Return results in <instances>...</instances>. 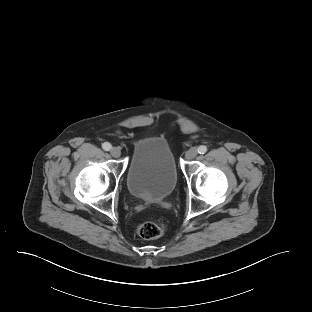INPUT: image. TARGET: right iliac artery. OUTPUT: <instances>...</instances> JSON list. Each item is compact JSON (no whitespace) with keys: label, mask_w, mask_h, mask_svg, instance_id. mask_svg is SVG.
Wrapping results in <instances>:
<instances>
[{"label":"right iliac artery","mask_w":312,"mask_h":312,"mask_svg":"<svg viewBox=\"0 0 312 312\" xmlns=\"http://www.w3.org/2000/svg\"><path fill=\"white\" fill-rule=\"evenodd\" d=\"M111 144L108 143V142H105L102 144V148L105 150V151H109L111 149Z\"/></svg>","instance_id":"1"}]
</instances>
